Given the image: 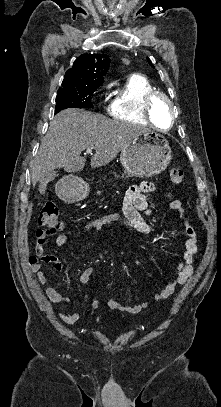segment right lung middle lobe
<instances>
[{
	"label": "right lung middle lobe",
	"instance_id": "dd1d6c3e",
	"mask_svg": "<svg viewBox=\"0 0 221 407\" xmlns=\"http://www.w3.org/2000/svg\"><path fill=\"white\" fill-rule=\"evenodd\" d=\"M97 88L59 89L56 96V112L66 108H92L91 96Z\"/></svg>",
	"mask_w": 221,
	"mask_h": 407
}]
</instances>
